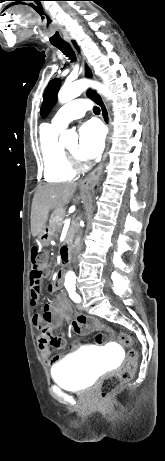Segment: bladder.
<instances>
[{
  "mask_svg": "<svg viewBox=\"0 0 165 461\" xmlns=\"http://www.w3.org/2000/svg\"><path fill=\"white\" fill-rule=\"evenodd\" d=\"M105 367V360L98 359L96 351H79L53 366L51 375L61 387L80 391L91 387Z\"/></svg>",
  "mask_w": 165,
  "mask_h": 461,
  "instance_id": "1",
  "label": "bladder"
}]
</instances>
